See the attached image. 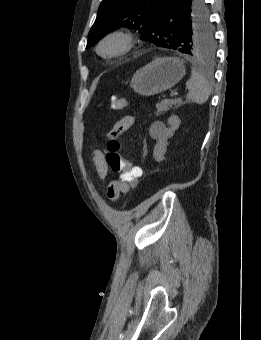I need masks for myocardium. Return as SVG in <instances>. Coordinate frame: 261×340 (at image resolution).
<instances>
[{
    "label": "myocardium",
    "mask_w": 261,
    "mask_h": 340,
    "mask_svg": "<svg viewBox=\"0 0 261 340\" xmlns=\"http://www.w3.org/2000/svg\"><path fill=\"white\" fill-rule=\"evenodd\" d=\"M110 42L118 43V47L111 51L105 52L104 47ZM136 43L135 35L124 29H115L105 34L97 43L96 51L104 59H114L126 54Z\"/></svg>",
    "instance_id": "obj_1"
}]
</instances>
